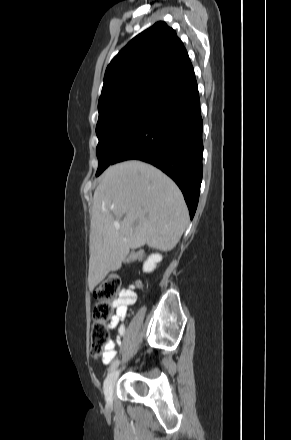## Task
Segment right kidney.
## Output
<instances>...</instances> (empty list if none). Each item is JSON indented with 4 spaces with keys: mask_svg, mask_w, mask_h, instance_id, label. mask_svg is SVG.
I'll list each match as a JSON object with an SVG mask.
<instances>
[{
    "mask_svg": "<svg viewBox=\"0 0 291 440\" xmlns=\"http://www.w3.org/2000/svg\"><path fill=\"white\" fill-rule=\"evenodd\" d=\"M161 260L162 255L158 253L151 254L143 264V271L146 273L152 272Z\"/></svg>",
    "mask_w": 291,
    "mask_h": 440,
    "instance_id": "right-kidney-1",
    "label": "right kidney"
}]
</instances>
